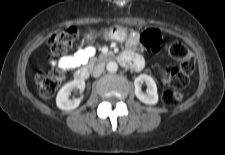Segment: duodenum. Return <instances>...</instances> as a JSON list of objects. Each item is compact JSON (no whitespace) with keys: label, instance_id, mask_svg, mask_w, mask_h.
<instances>
[{"label":"duodenum","instance_id":"1","mask_svg":"<svg viewBox=\"0 0 225 155\" xmlns=\"http://www.w3.org/2000/svg\"><path fill=\"white\" fill-rule=\"evenodd\" d=\"M118 59L124 65H127V66L130 65V66H133L134 68L137 67L136 62L131 61L129 58L123 56V54ZM88 76H89V70L86 67L79 69L75 73V79L80 81L87 79Z\"/></svg>","mask_w":225,"mask_h":155}]
</instances>
